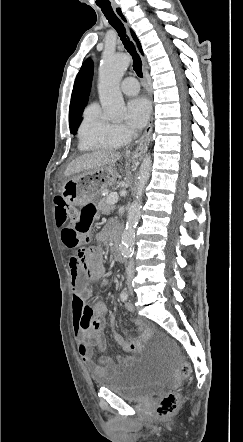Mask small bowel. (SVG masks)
<instances>
[{"label":"small bowel","mask_w":243,"mask_h":442,"mask_svg":"<svg viewBox=\"0 0 243 442\" xmlns=\"http://www.w3.org/2000/svg\"><path fill=\"white\" fill-rule=\"evenodd\" d=\"M113 225H106L96 238L107 239L112 231ZM69 271L73 288V329L78 342L79 355L94 379H100L112 372L128 358L116 356L115 358L103 355L106 342L103 335L105 327V316L108 312V305L105 301L98 300L88 304L90 281L103 280L105 267L101 248L92 247L83 250L79 258L72 257L69 262ZM128 310L133 307L126 305ZM135 324L141 330V336L132 341H127L120 334L114 332V341L126 353L139 351L150 334V328L144 325L139 319ZM111 327L115 325V319L110 320Z\"/></svg>","instance_id":"obj_1"}]
</instances>
